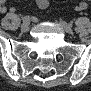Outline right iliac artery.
Segmentation results:
<instances>
[{
    "label": "right iliac artery",
    "mask_w": 91,
    "mask_h": 91,
    "mask_svg": "<svg viewBox=\"0 0 91 91\" xmlns=\"http://www.w3.org/2000/svg\"><path fill=\"white\" fill-rule=\"evenodd\" d=\"M22 20H23V22H28V21H30V18H29V16H25Z\"/></svg>",
    "instance_id": "obj_1"
}]
</instances>
